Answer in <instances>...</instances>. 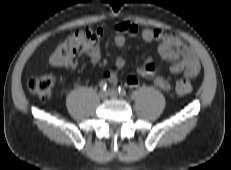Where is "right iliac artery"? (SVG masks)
<instances>
[{"label":"right iliac artery","instance_id":"1","mask_svg":"<svg viewBox=\"0 0 231 170\" xmlns=\"http://www.w3.org/2000/svg\"><path fill=\"white\" fill-rule=\"evenodd\" d=\"M99 86H100V88H101L102 90H104V91H105V90L107 89V87H108L106 81H101V82L99 83Z\"/></svg>","mask_w":231,"mask_h":170}]
</instances>
